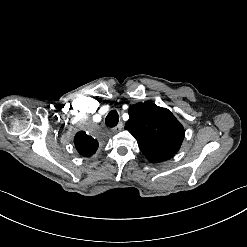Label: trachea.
<instances>
[{
	"instance_id": "obj_1",
	"label": "trachea",
	"mask_w": 247,
	"mask_h": 247,
	"mask_svg": "<svg viewBox=\"0 0 247 247\" xmlns=\"http://www.w3.org/2000/svg\"><path fill=\"white\" fill-rule=\"evenodd\" d=\"M106 125L108 127H115L119 122L118 112L114 109L106 117Z\"/></svg>"
}]
</instances>
